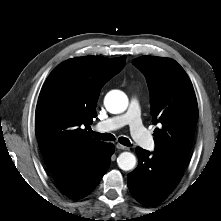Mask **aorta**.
<instances>
[{
    "label": "aorta",
    "mask_w": 221,
    "mask_h": 221,
    "mask_svg": "<svg viewBox=\"0 0 221 221\" xmlns=\"http://www.w3.org/2000/svg\"><path fill=\"white\" fill-rule=\"evenodd\" d=\"M104 106L108 112L112 114H120L128 107V98L126 94L120 90H112L108 92L104 98ZM120 169L124 171L132 170L136 165V158L130 152H123L117 158Z\"/></svg>",
    "instance_id": "1"
}]
</instances>
